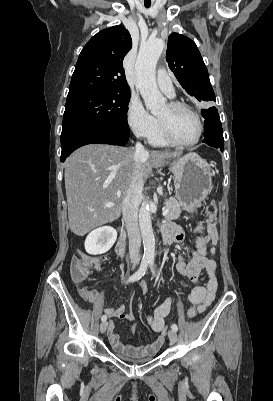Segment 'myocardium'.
<instances>
[{
	"label": "myocardium",
	"instance_id": "myocardium-1",
	"mask_svg": "<svg viewBox=\"0 0 273 401\" xmlns=\"http://www.w3.org/2000/svg\"><path fill=\"white\" fill-rule=\"evenodd\" d=\"M169 106L171 108H175V109L186 110L190 114H192L198 121L199 134H198L197 138L193 141H190V142L180 141L179 139H177L175 137V135L171 131L170 127L163 120L158 118V122H159V125H160V128H161L164 138L167 141H169L170 143H172L176 146H179V147H191V146L198 144L202 140L204 133H205V124H204V120H203L202 116L200 115V113L198 111H196L193 107H191L185 103H182V102L172 101L169 103Z\"/></svg>",
	"mask_w": 273,
	"mask_h": 401
}]
</instances>
